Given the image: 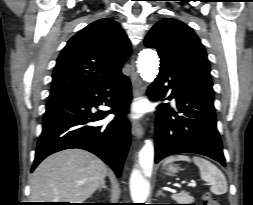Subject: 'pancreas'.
<instances>
[{"label":"pancreas","instance_id":"cf45deb5","mask_svg":"<svg viewBox=\"0 0 253 205\" xmlns=\"http://www.w3.org/2000/svg\"><path fill=\"white\" fill-rule=\"evenodd\" d=\"M172 198L179 204H190L192 201H194V198L192 196H189V194L184 191L178 194H173Z\"/></svg>","mask_w":253,"mask_h":205}]
</instances>
